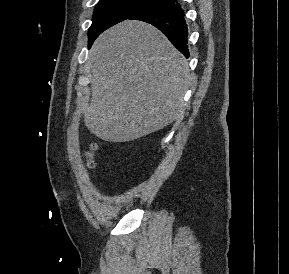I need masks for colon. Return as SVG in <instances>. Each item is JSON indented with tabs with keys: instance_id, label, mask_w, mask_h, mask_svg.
<instances>
[{
	"instance_id": "5ec220e1",
	"label": "colon",
	"mask_w": 289,
	"mask_h": 274,
	"mask_svg": "<svg viewBox=\"0 0 289 274\" xmlns=\"http://www.w3.org/2000/svg\"><path fill=\"white\" fill-rule=\"evenodd\" d=\"M96 149V145L95 144H92L90 146V148L88 149V151L86 152V157H87V162H88V165L90 167H92L94 165V162H93V155H94V151Z\"/></svg>"
}]
</instances>
